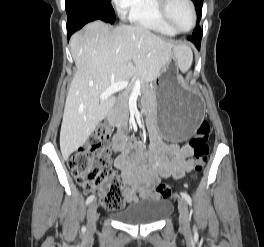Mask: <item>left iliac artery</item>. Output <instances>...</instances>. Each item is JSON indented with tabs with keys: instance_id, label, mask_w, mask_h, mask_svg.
Segmentation results:
<instances>
[{
	"instance_id": "44dca946",
	"label": "left iliac artery",
	"mask_w": 264,
	"mask_h": 247,
	"mask_svg": "<svg viewBox=\"0 0 264 247\" xmlns=\"http://www.w3.org/2000/svg\"><path fill=\"white\" fill-rule=\"evenodd\" d=\"M181 196L190 206L192 205L191 197L186 192H182Z\"/></svg>"
}]
</instances>
